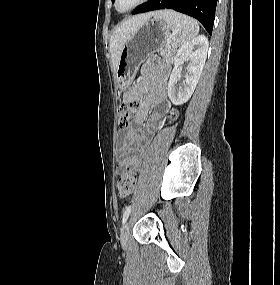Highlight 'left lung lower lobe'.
<instances>
[{"mask_svg":"<svg viewBox=\"0 0 280 285\" xmlns=\"http://www.w3.org/2000/svg\"><path fill=\"white\" fill-rule=\"evenodd\" d=\"M216 4L217 0H148L146 3L138 6L132 14L159 9H172L196 18L211 35Z\"/></svg>","mask_w":280,"mask_h":285,"instance_id":"0a47b994","label":"left lung lower lobe"}]
</instances>
